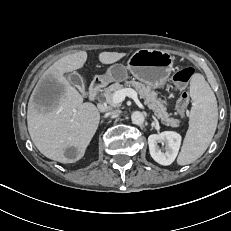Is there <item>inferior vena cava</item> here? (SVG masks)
Wrapping results in <instances>:
<instances>
[{
  "label": "inferior vena cava",
  "mask_w": 231,
  "mask_h": 231,
  "mask_svg": "<svg viewBox=\"0 0 231 231\" xmlns=\"http://www.w3.org/2000/svg\"><path fill=\"white\" fill-rule=\"evenodd\" d=\"M117 114H119V110H112V111L105 113V117L115 116Z\"/></svg>",
  "instance_id": "1"
}]
</instances>
